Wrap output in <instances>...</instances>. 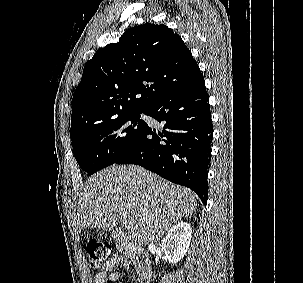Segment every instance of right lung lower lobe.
Here are the masks:
<instances>
[{"mask_svg": "<svg viewBox=\"0 0 303 283\" xmlns=\"http://www.w3.org/2000/svg\"><path fill=\"white\" fill-rule=\"evenodd\" d=\"M146 114L164 124L147 128L116 164H136L192 189L206 205L207 169L213 137L209 96L199 75L185 87L159 99Z\"/></svg>", "mask_w": 303, "mask_h": 283, "instance_id": "1", "label": "right lung lower lobe"}]
</instances>
